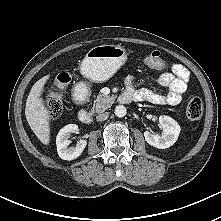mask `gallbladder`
<instances>
[{
    "instance_id": "obj_1",
    "label": "gallbladder",
    "mask_w": 221,
    "mask_h": 221,
    "mask_svg": "<svg viewBox=\"0 0 221 221\" xmlns=\"http://www.w3.org/2000/svg\"><path fill=\"white\" fill-rule=\"evenodd\" d=\"M56 86H58V85H56ZM55 90L57 91L58 89H57V88H55Z\"/></svg>"
}]
</instances>
